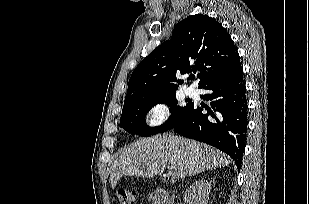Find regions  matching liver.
<instances>
[{
  "instance_id": "obj_1",
  "label": "liver",
  "mask_w": 309,
  "mask_h": 204,
  "mask_svg": "<svg viewBox=\"0 0 309 204\" xmlns=\"http://www.w3.org/2000/svg\"><path fill=\"white\" fill-rule=\"evenodd\" d=\"M230 164L221 151L197 141L173 135H156L129 145L114 162L110 173L114 189L122 176L152 178L167 166L183 178Z\"/></svg>"
}]
</instances>
